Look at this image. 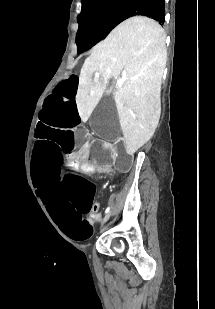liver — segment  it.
<instances>
[{"mask_svg": "<svg viewBox=\"0 0 215 309\" xmlns=\"http://www.w3.org/2000/svg\"><path fill=\"white\" fill-rule=\"evenodd\" d=\"M166 34L159 22L148 16H131L95 44L80 72L75 96L79 114L86 122L110 78L126 76L114 92L118 116L128 155L151 138L160 118L155 102L160 96L166 64ZM100 72L102 82H93Z\"/></svg>", "mask_w": 215, "mask_h": 309, "instance_id": "obj_1", "label": "liver"}]
</instances>
